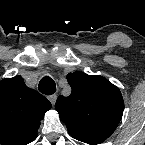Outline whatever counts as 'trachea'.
I'll use <instances>...</instances> for the list:
<instances>
[{"label":"trachea","mask_w":145,"mask_h":145,"mask_svg":"<svg viewBox=\"0 0 145 145\" xmlns=\"http://www.w3.org/2000/svg\"><path fill=\"white\" fill-rule=\"evenodd\" d=\"M38 89L45 95H52L56 92V85L52 78L45 76L40 80Z\"/></svg>","instance_id":"obj_1"}]
</instances>
